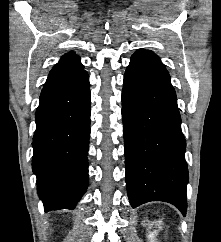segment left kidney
Returning <instances> with one entry per match:
<instances>
[{
    "label": "left kidney",
    "instance_id": "obj_1",
    "mask_svg": "<svg viewBox=\"0 0 221 242\" xmlns=\"http://www.w3.org/2000/svg\"><path fill=\"white\" fill-rule=\"evenodd\" d=\"M155 224L157 225V226H161V224H162V222L161 221H158V222H155ZM156 235H157V231H154V232H152V233H149L148 235H147V237H148V239H150V242H155V240H156Z\"/></svg>",
    "mask_w": 221,
    "mask_h": 242
}]
</instances>
